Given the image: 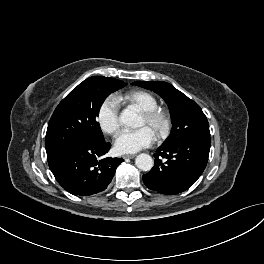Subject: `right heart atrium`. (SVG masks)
<instances>
[{
    "mask_svg": "<svg viewBox=\"0 0 264 264\" xmlns=\"http://www.w3.org/2000/svg\"><path fill=\"white\" fill-rule=\"evenodd\" d=\"M99 127L107 134H116L120 128L119 103L114 96L105 98L97 110Z\"/></svg>",
    "mask_w": 264,
    "mask_h": 264,
    "instance_id": "1",
    "label": "right heart atrium"
}]
</instances>
